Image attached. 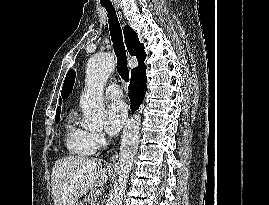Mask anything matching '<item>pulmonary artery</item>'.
I'll return each instance as SVG.
<instances>
[{
	"mask_svg": "<svg viewBox=\"0 0 269 205\" xmlns=\"http://www.w3.org/2000/svg\"><path fill=\"white\" fill-rule=\"evenodd\" d=\"M105 95L110 99H120L123 96L122 90L118 85H110L105 90Z\"/></svg>",
	"mask_w": 269,
	"mask_h": 205,
	"instance_id": "pulmonary-artery-1",
	"label": "pulmonary artery"
}]
</instances>
